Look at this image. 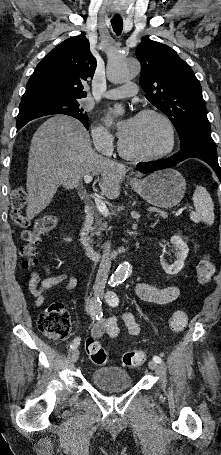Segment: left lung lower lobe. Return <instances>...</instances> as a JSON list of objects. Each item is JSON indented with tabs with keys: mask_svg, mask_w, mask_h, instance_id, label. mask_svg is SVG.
<instances>
[{
	"mask_svg": "<svg viewBox=\"0 0 221 455\" xmlns=\"http://www.w3.org/2000/svg\"><path fill=\"white\" fill-rule=\"evenodd\" d=\"M188 158H199L205 161L212 167L221 181V169L218 164L216 145L213 140L193 139L182 146L180 151L171 157L159 161L138 163L137 168L142 173H150L173 167Z\"/></svg>",
	"mask_w": 221,
	"mask_h": 455,
	"instance_id": "left-lung-lower-lobe-1",
	"label": "left lung lower lobe"
}]
</instances>
